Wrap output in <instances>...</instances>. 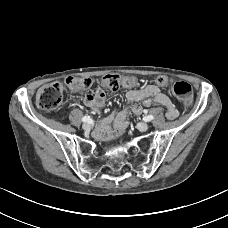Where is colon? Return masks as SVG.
I'll return each instance as SVG.
<instances>
[{
	"mask_svg": "<svg viewBox=\"0 0 228 228\" xmlns=\"http://www.w3.org/2000/svg\"><path fill=\"white\" fill-rule=\"evenodd\" d=\"M160 87H170L171 93L184 105L190 106L193 101V91L189 83L181 81L172 84L168 77L160 76L156 80ZM100 85L108 90L119 88H132L137 80L131 76H121L118 74L104 75ZM94 84L90 78L70 77L66 80V85L71 92H84L89 90ZM65 87L60 83H50L42 86L36 94V102L39 108L45 111H52L60 107L63 102Z\"/></svg>",
	"mask_w": 228,
	"mask_h": 228,
	"instance_id": "colon-1",
	"label": "colon"
}]
</instances>
